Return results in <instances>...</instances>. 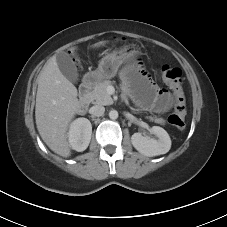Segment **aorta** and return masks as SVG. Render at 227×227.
Instances as JSON below:
<instances>
[{
  "label": "aorta",
  "instance_id": "1",
  "mask_svg": "<svg viewBox=\"0 0 227 227\" xmlns=\"http://www.w3.org/2000/svg\"><path fill=\"white\" fill-rule=\"evenodd\" d=\"M109 117H110V119H112V120L117 119V118H118V112H117L116 110H111V111L109 112Z\"/></svg>",
  "mask_w": 227,
  "mask_h": 227
}]
</instances>
